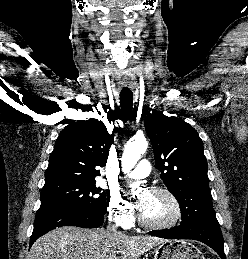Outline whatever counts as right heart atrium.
Masks as SVG:
<instances>
[{
  "label": "right heart atrium",
  "instance_id": "obj_1",
  "mask_svg": "<svg viewBox=\"0 0 248 259\" xmlns=\"http://www.w3.org/2000/svg\"><path fill=\"white\" fill-rule=\"evenodd\" d=\"M110 219L118 226L128 227L134 218L132 205L120 193L111 192L108 203Z\"/></svg>",
  "mask_w": 248,
  "mask_h": 259
}]
</instances>
